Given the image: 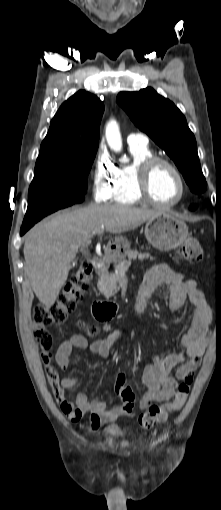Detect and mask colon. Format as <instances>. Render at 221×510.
I'll use <instances>...</instances> for the list:
<instances>
[{"instance_id":"obj_1","label":"colon","mask_w":221,"mask_h":510,"mask_svg":"<svg viewBox=\"0 0 221 510\" xmlns=\"http://www.w3.org/2000/svg\"><path fill=\"white\" fill-rule=\"evenodd\" d=\"M177 255L182 261L196 263L201 261L203 252L198 240L189 238L178 249ZM92 276V265L88 261H83L54 302L47 305H38L33 309V320L37 327L34 336L42 350L41 360L46 369L47 381L53 387L56 386L59 379L58 373L52 365L51 348L53 339L43 328L54 323H63L67 319L68 315L74 311L77 302L82 299L83 294L87 291ZM79 325L81 328L87 329L91 335L97 332L95 327H87L83 322H80ZM192 381V373L185 374L173 400L161 405H151L145 413L141 414L138 419L141 428L148 430L162 424L171 412L180 410L188 398ZM55 398L59 402V398ZM98 427H92V429Z\"/></svg>"}]
</instances>
